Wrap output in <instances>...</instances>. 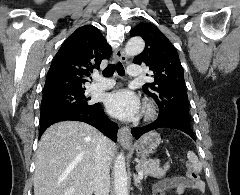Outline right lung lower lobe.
Here are the masks:
<instances>
[{"label": "right lung lower lobe", "instance_id": "98d812e1", "mask_svg": "<svg viewBox=\"0 0 240 195\" xmlns=\"http://www.w3.org/2000/svg\"><path fill=\"white\" fill-rule=\"evenodd\" d=\"M65 120L88 123L114 142L117 141L118 125L105 115L100 104L95 107L55 108L41 112L39 138L50 125Z\"/></svg>", "mask_w": 240, "mask_h": 195}]
</instances>
